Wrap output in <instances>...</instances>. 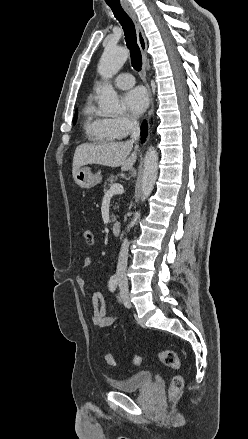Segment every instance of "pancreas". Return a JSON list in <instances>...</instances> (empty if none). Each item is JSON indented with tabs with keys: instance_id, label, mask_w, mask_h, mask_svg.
I'll list each match as a JSON object with an SVG mask.
<instances>
[{
	"instance_id": "pancreas-1",
	"label": "pancreas",
	"mask_w": 248,
	"mask_h": 439,
	"mask_svg": "<svg viewBox=\"0 0 248 439\" xmlns=\"http://www.w3.org/2000/svg\"><path fill=\"white\" fill-rule=\"evenodd\" d=\"M116 180H117V176H115V175H110V177L107 178V182H105V185H104L105 189H106L108 186H111V184H112L114 181H116ZM111 217H112L111 222H115V220H116L115 215H114V214H111Z\"/></svg>"
}]
</instances>
